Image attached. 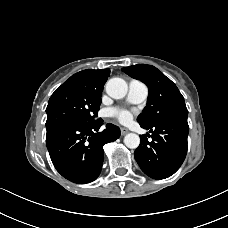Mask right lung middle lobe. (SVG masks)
Returning <instances> with one entry per match:
<instances>
[{
    "label": "right lung middle lobe",
    "mask_w": 228,
    "mask_h": 228,
    "mask_svg": "<svg viewBox=\"0 0 228 228\" xmlns=\"http://www.w3.org/2000/svg\"><path fill=\"white\" fill-rule=\"evenodd\" d=\"M102 92H90L64 82L50 97L46 108V129L70 123H93L101 105Z\"/></svg>",
    "instance_id": "1"
}]
</instances>
